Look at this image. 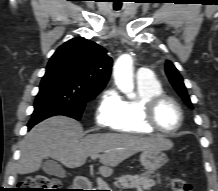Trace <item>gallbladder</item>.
Listing matches in <instances>:
<instances>
[{"label": "gallbladder", "instance_id": "bac80fb5", "mask_svg": "<svg viewBox=\"0 0 218 191\" xmlns=\"http://www.w3.org/2000/svg\"><path fill=\"white\" fill-rule=\"evenodd\" d=\"M42 170L49 175L64 177L65 172L62 166L55 160H46L42 163Z\"/></svg>", "mask_w": 218, "mask_h": 191}]
</instances>
